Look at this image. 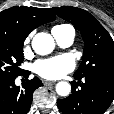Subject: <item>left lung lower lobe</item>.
I'll return each mask as SVG.
<instances>
[{
    "mask_svg": "<svg viewBox=\"0 0 114 114\" xmlns=\"http://www.w3.org/2000/svg\"><path fill=\"white\" fill-rule=\"evenodd\" d=\"M74 78L78 82H72V94L57 100L60 111L64 114H103L114 99V77L74 75Z\"/></svg>",
    "mask_w": 114,
    "mask_h": 114,
    "instance_id": "obj_1",
    "label": "left lung lower lobe"
}]
</instances>
